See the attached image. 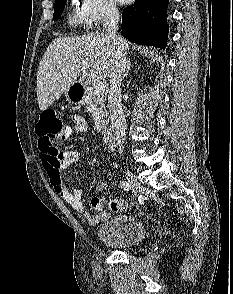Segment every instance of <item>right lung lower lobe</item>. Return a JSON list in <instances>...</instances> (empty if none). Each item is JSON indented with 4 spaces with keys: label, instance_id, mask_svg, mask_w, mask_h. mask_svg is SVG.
<instances>
[{
    "label": "right lung lower lobe",
    "instance_id": "obj_1",
    "mask_svg": "<svg viewBox=\"0 0 233 294\" xmlns=\"http://www.w3.org/2000/svg\"><path fill=\"white\" fill-rule=\"evenodd\" d=\"M168 1L135 0L122 12V36L133 43L165 49Z\"/></svg>",
    "mask_w": 233,
    "mask_h": 294
}]
</instances>
